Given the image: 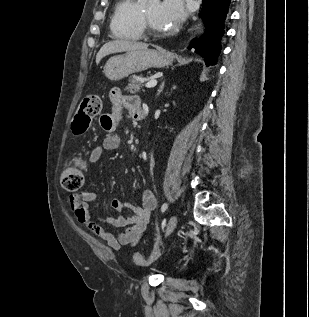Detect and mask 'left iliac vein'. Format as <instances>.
<instances>
[{
    "label": "left iliac vein",
    "instance_id": "1",
    "mask_svg": "<svg viewBox=\"0 0 309 317\" xmlns=\"http://www.w3.org/2000/svg\"><path fill=\"white\" fill-rule=\"evenodd\" d=\"M177 222H178V217L176 215L171 216L166 227L165 236H168L173 232V230L175 229L177 225Z\"/></svg>",
    "mask_w": 309,
    "mask_h": 317
}]
</instances>
